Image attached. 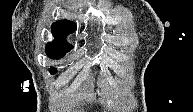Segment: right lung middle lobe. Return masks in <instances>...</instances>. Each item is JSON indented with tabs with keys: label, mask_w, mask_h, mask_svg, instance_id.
Returning a JSON list of instances; mask_svg holds the SVG:
<instances>
[{
	"label": "right lung middle lobe",
	"mask_w": 193,
	"mask_h": 112,
	"mask_svg": "<svg viewBox=\"0 0 193 112\" xmlns=\"http://www.w3.org/2000/svg\"><path fill=\"white\" fill-rule=\"evenodd\" d=\"M73 48L72 45L64 42H50L46 45V54L52 59H60L64 57L65 53L69 52ZM52 74L56 73V69L51 68Z\"/></svg>",
	"instance_id": "1"
}]
</instances>
